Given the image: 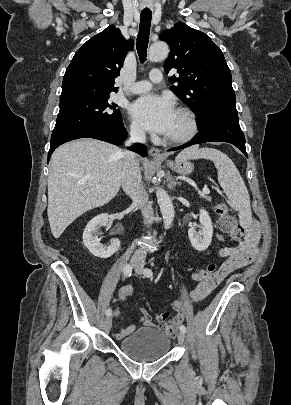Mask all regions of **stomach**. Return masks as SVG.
<instances>
[{
    "label": "stomach",
    "mask_w": 291,
    "mask_h": 405,
    "mask_svg": "<svg viewBox=\"0 0 291 405\" xmlns=\"http://www.w3.org/2000/svg\"><path fill=\"white\" fill-rule=\"evenodd\" d=\"M167 166L169 168H171L173 171H175L176 173L181 174V175H189L194 169L193 164L186 160H182V161H178V162L177 161L176 162L168 161Z\"/></svg>",
    "instance_id": "0dacf381"
}]
</instances>
